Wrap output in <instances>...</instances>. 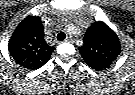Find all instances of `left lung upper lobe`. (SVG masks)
Wrapping results in <instances>:
<instances>
[{"mask_svg":"<svg viewBox=\"0 0 135 95\" xmlns=\"http://www.w3.org/2000/svg\"><path fill=\"white\" fill-rule=\"evenodd\" d=\"M83 41L79 47L80 54L95 70L108 68L121 52L118 36L103 22H94L87 29Z\"/></svg>","mask_w":135,"mask_h":95,"instance_id":"left-lung-upper-lobe-1","label":"left lung upper lobe"}]
</instances>
